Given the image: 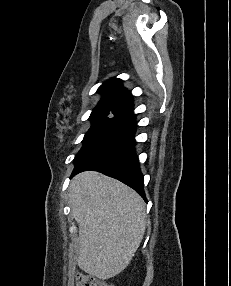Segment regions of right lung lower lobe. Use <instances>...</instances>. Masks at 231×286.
I'll return each mask as SVG.
<instances>
[{
	"label": "right lung lower lobe",
	"instance_id": "1",
	"mask_svg": "<svg viewBox=\"0 0 231 286\" xmlns=\"http://www.w3.org/2000/svg\"><path fill=\"white\" fill-rule=\"evenodd\" d=\"M135 120H131L75 162L72 176L85 170H95L116 178L136 190L143 198L144 179L134 152Z\"/></svg>",
	"mask_w": 231,
	"mask_h": 286
}]
</instances>
